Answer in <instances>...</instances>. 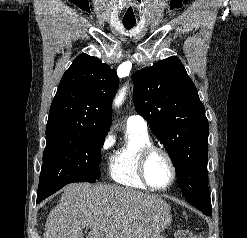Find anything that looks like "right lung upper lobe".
I'll return each mask as SVG.
<instances>
[{
  "label": "right lung upper lobe",
  "instance_id": "right-lung-upper-lobe-1",
  "mask_svg": "<svg viewBox=\"0 0 247 238\" xmlns=\"http://www.w3.org/2000/svg\"><path fill=\"white\" fill-rule=\"evenodd\" d=\"M118 86L117 74L109 65L81 54L60 81L50 107L46 134L80 128L108 133L111 104Z\"/></svg>",
  "mask_w": 247,
  "mask_h": 238
}]
</instances>
